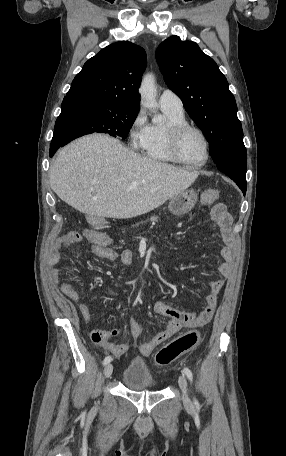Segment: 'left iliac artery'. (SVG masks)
I'll list each match as a JSON object with an SVG mask.
<instances>
[{
	"label": "left iliac artery",
	"mask_w": 286,
	"mask_h": 456,
	"mask_svg": "<svg viewBox=\"0 0 286 456\" xmlns=\"http://www.w3.org/2000/svg\"><path fill=\"white\" fill-rule=\"evenodd\" d=\"M183 373L187 376V378H188L191 382L193 381V374H192V371H191L189 368L185 367V368L183 369ZM194 404H195L196 406L199 405V403H198V401H197L196 399H194Z\"/></svg>",
	"instance_id": "44dca946"
}]
</instances>
